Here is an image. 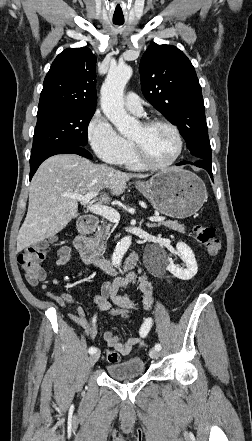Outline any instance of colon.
Segmentation results:
<instances>
[{
    "instance_id": "colon-1",
    "label": "colon",
    "mask_w": 252,
    "mask_h": 441,
    "mask_svg": "<svg viewBox=\"0 0 252 441\" xmlns=\"http://www.w3.org/2000/svg\"><path fill=\"white\" fill-rule=\"evenodd\" d=\"M195 238L206 249L209 255L215 256L221 249V242L216 237V231L211 226L195 225L193 229ZM48 251L47 243H39L27 247L18 255V263L24 271L27 282L36 286L42 282L46 273L42 267V262L45 259ZM134 304L124 306H112L107 311L111 316L129 318L134 311ZM106 360L109 363H117L120 360V354L117 351L110 350L106 353Z\"/></svg>"
}]
</instances>
